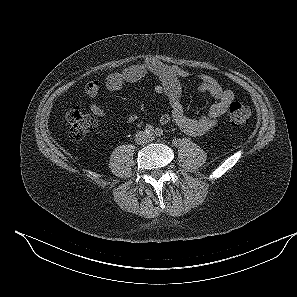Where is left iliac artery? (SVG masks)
<instances>
[{"label":"left iliac artery","instance_id":"1","mask_svg":"<svg viewBox=\"0 0 297 297\" xmlns=\"http://www.w3.org/2000/svg\"><path fill=\"white\" fill-rule=\"evenodd\" d=\"M155 135H156L157 137L162 136V135H163V130H162L161 128H156V129H155Z\"/></svg>","mask_w":297,"mask_h":297}]
</instances>
